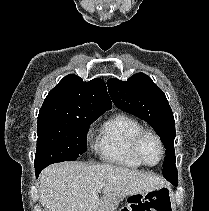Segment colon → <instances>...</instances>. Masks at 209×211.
Masks as SVG:
<instances>
[{
	"instance_id": "obj_1",
	"label": "colon",
	"mask_w": 209,
	"mask_h": 211,
	"mask_svg": "<svg viewBox=\"0 0 209 211\" xmlns=\"http://www.w3.org/2000/svg\"><path fill=\"white\" fill-rule=\"evenodd\" d=\"M120 211H170L168 190L159 189L147 194L134 195Z\"/></svg>"
}]
</instances>
